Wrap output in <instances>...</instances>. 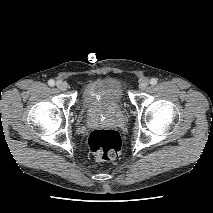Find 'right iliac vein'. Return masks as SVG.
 Instances as JSON below:
<instances>
[{"mask_svg":"<svg viewBox=\"0 0 213 213\" xmlns=\"http://www.w3.org/2000/svg\"><path fill=\"white\" fill-rule=\"evenodd\" d=\"M56 86L61 91L67 90V84L65 82H63V81H57Z\"/></svg>","mask_w":213,"mask_h":213,"instance_id":"right-iliac-vein-1","label":"right iliac vein"}]
</instances>
